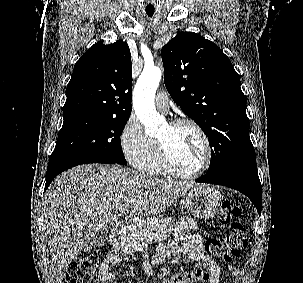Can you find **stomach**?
<instances>
[{
    "label": "stomach",
    "instance_id": "obj_1",
    "mask_svg": "<svg viewBox=\"0 0 303 283\" xmlns=\"http://www.w3.org/2000/svg\"><path fill=\"white\" fill-rule=\"evenodd\" d=\"M221 194L210 186L201 185L190 189L186 195L188 211L200 219H210L218 211Z\"/></svg>",
    "mask_w": 303,
    "mask_h": 283
}]
</instances>
